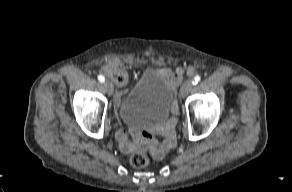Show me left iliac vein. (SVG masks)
<instances>
[{
	"label": "left iliac vein",
	"mask_w": 292,
	"mask_h": 192,
	"mask_svg": "<svg viewBox=\"0 0 292 192\" xmlns=\"http://www.w3.org/2000/svg\"><path fill=\"white\" fill-rule=\"evenodd\" d=\"M192 80H190V79H187L184 83H183V85H182V87H181V90H180V94H181V97L182 98H185L187 95H188V93L191 91V89H192Z\"/></svg>",
	"instance_id": "1"
}]
</instances>
